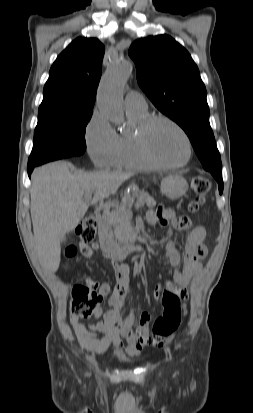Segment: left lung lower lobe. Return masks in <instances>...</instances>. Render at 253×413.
I'll return each instance as SVG.
<instances>
[{
  "label": "left lung lower lobe",
  "mask_w": 253,
  "mask_h": 413,
  "mask_svg": "<svg viewBox=\"0 0 253 413\" xmlns=\"http://www.w3.org/2000/svg\"><path fill=\"white\" fill-rule=\"evenodd\" d=\"M211 174L214 176V178L218 182V187H219V192L222 193L223 191V180H222V174L221 173H214L211 172Z\"/></svg>",
  "instance_id": "0a47b994"
}]
</instances>
